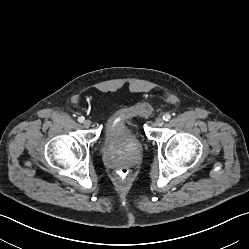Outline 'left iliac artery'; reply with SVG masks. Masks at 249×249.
Here are the masks:
<instances>
[{
	"mask_svg": "<svg viewBox=\"0 0 249 249\" xmlns=\"http://www.w3.org/2000/svg\"><path fill=\"white\" fill-rule=\"evenodd\" d=\"M163 119H164L165 121H169V120L171 119L170 114H165V115L163 116Z\"/></svg>",
	"mask_w": 249,
	"mask_h": 249,
	"instance_id": "obj_1",
	"label": "left iliac artery"
}]
</instances>
